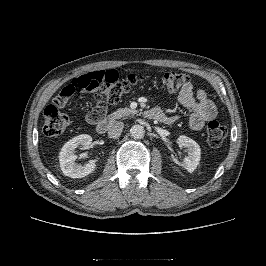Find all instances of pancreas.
<instances>
[{"label": "pancreas", "instance_id": "pancreas-1", "mask_svg": "<svg viewBox=\"0 0 266 266\" xmlns=\"http://www.w3.org/2000/svg\"><path fill=\"white\" fill-rule=\"evenodd\" d=\"M137 110H133L130 108H119L115 112H113L111 115H109V119H121L124 117H130L137 113Z\"/></svg>", "mask_w": 266, "mask_h": 266}]
</instances>
